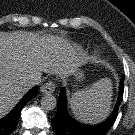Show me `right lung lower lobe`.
I'll return each instance as SVG.
<instances>
[{
  "mask_svg": "<svg viewBox=\"0 0 135 135\" xmlns=\"http://www.w3.org/2000/svg\"><path fill=\"white\" fill-rule=\"evenodd\" d=\"M37 90V86L30 90L6 117L0 119V135L11 134L18 123L23 106L37 95Z\"/></svg>",
  "mask_w": 135,
  "mask_h": 135,
  "instance_id": "right-lung-lower-lobe-1",
  "label": "right lung lower lobe"
}]
</instances>
